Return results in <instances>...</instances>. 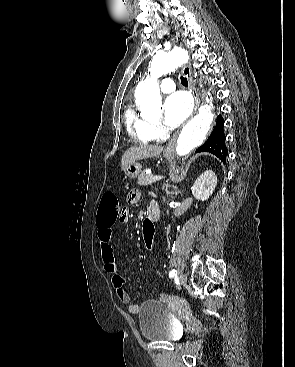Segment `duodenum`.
<instances>
[{
    "label": "duodenum",
    "mask_w": 295,
    "mask_h": 367,
    "mask_svg": "<svg viewBox=\"0 0 295 367\" xmlns=\"http://www.w3.org/2000/svg\"><path fill=\"white\" fill-rule=\"evenodd\" d=\"M160 216V207L157 202H151L147 209V219H152L153 222L158 220Z\"/></svg>",
    "instance_id": "410a0bca"
}]
</instances>
